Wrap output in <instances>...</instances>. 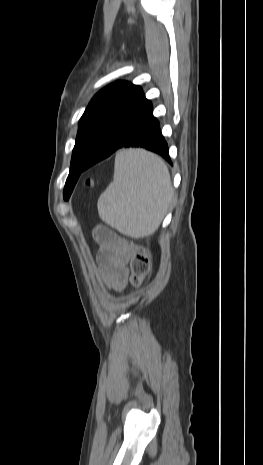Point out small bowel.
I'll return each instance as SVG.
<instances>
[{
  "instance_id": "1",
  "label": "small bowel",
  "mask_w": 263,
  "mask_h": 465,
  "mask_svg": "<svg viewBox=\"0 0 263 465\" xmlns=\"http://www.w3.org/2000/svg\"><path fill=\"white\" fill-rule=\"evenodd\" d=\"M95 238L100 246L107 282L116 291H122L127 284L129 274L126 266L129 253L121 248L118 240L107 230H97Z\"/></svg>"
}]
</instances>
